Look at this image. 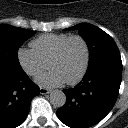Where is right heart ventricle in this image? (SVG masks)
<instances>
[{
	"label": "right heart ventricle",
	"mask_w": 128,
	"mask_h": 128,
	"mask_svg": "<svg viewBox=\"0 0 128 128\" xmlns=\"http://www.w3.org/2000/svg\"><path fill=\"white\" fill-rule=\"evenodd\" d=\"M69 36L70 34L65 33L41 35L32 41L31 47L45 63H48L60 44Z\"/></svg>",
	"instance_id": "1"
}]
</instances>
